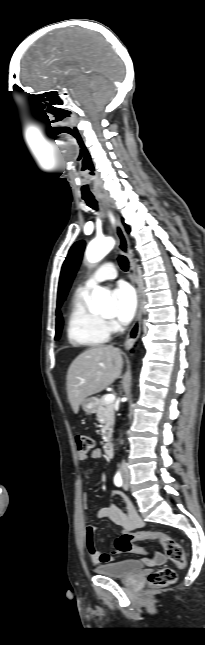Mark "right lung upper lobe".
<instances>
[{
	"instance_id": "cb5924a9",
	"label": "right lung upper lobe",
	"mask_w": 205,
	"mask_h": 645,
	"mask_svg": "<svg viewBox=\"0 0 205 645\" xmlns=\"http://www.w3.org/2000/svg\"><path fill=\"white\" fill-rule=\"evenodd\" d=\"M61 318L60 312L57 310V319Z\"/></svg>"
}]
</instances>
